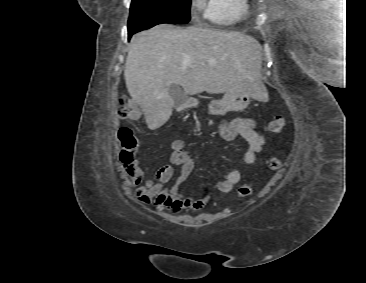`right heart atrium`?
Masks as SVG:
<instances>
[{
  "label": "right heart atrium",
  "instance_id": "obj_1",
  "mask_svg": "<svg viewBox=\"0 0 366 283\" xmlns=\"http://www.w3.org/2000/svg\"><path fill=\"white\" fill-rule=\"evenodd\" d=\"M192 5L195 7H199L200 6V0H192Z\"/></svg>",
  "mask_w": 366,
  "mask_h": 283
}]
</instances>
